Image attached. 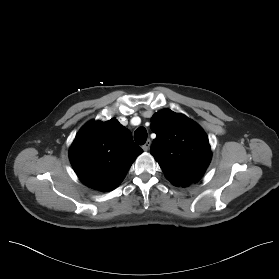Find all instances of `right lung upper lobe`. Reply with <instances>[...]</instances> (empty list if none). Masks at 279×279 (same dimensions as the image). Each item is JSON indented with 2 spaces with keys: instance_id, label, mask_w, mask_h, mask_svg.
I'll use <instances>...</instances> for the list:
<instances>
[{
  "instance_id": "1",
  "label": "right lung upper lobe",
  "mask_w": 279,
  "mask_h": 279,
  "mask_svg": "<svg viewBox=\"0 0 279 279\" xmlns=\"http://www.w3.org/2000/svg\"><path fill=\"white\" fill-rule=\"evenodd\" d=\"M143 150L131 132L116 119L91 121L81 128L69 158L79 179L88 187L111 191L125 178L133 161Z\"/></svg>"
}]
</instances>
